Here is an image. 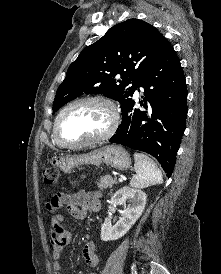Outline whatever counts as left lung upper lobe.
Masks as SVG:
<instances>
[{"label": "left lung upper lobe", "mask_w": 221, "mask_h": 274, "mask_svg": "<svg viewBox=\"0 0 221 274\" xmlns=\"http://www.w3.org/2000/svg\"><path fill=\"white\" fill-rule=\"evenodd\" d=\"M169 46L155 27L142 20L129 19L113 26L69 66L57 90L53 113L83 94H104L123 108L132 99L140 76Z\"/></svg>", "instance_id": "1"}]
</instances>
